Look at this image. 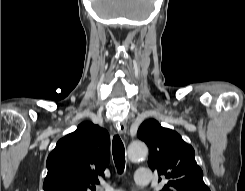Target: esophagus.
<instances>
[{
  "instance_id": "esophagus-1",
  "label": "esophagus",
  "mask_w": 245,
  "mask_h": 191,
  "mask_svg": "<svg viewBox=\"0 0 245 191\" xmlns=\"http://www.w3.org/2000/svg\"><path fill=\"white\" fill-rule=\"evenodd\" d=\"M116 129L121 134H125L127 131V126L125 121H120L118 124H116Z\"/></svg>"
}]
</instances>
